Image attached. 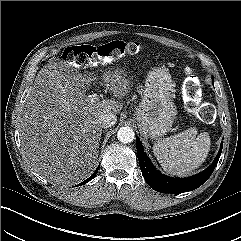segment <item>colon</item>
<instances>
[{
    "label": "colon",
    "mask_w": 241,
    "mask_h": 241,
    "mask_svg": "<svg viewBox=\"0 0 241 241\" xmlns=\"http://www.w3.org/2000/svg\"><path fill=\"white\" fill-rule=\"evenodd\" d=\"M141 50L136 42L116 40L100 46L80 45L66 48L61 60L75 68H86L95 65L109 63L125 54H135ZM184 102L187 109L203 121H212L214 109L205 104L201 99V86L199 81L190 76L183 90Z\"/></svg>",
    "instance_id": "5ec220e1"
}]
</instances>
